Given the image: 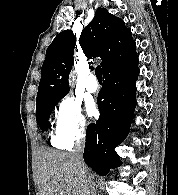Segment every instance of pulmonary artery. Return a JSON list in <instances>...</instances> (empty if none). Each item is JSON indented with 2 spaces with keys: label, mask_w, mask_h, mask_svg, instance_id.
<instances>
[{
  "label": "pulmonary artery",
  "mask_w": 178,
  "mask_h": 195,
  "mask_svg": "<svg viewBox=\"0 0 178 195\" xmlns=\"http://www.w3.org/2000/svg\"><path fill=\"white\" fill-rule=\"evenodd\" d=\"M86 89L90 93H95L97 92L99 85L97 82V78L95 74H90L87 77L86 83H85Z\"/></svg>",
  "instance_id": "obj_1"
}]
</instances>
